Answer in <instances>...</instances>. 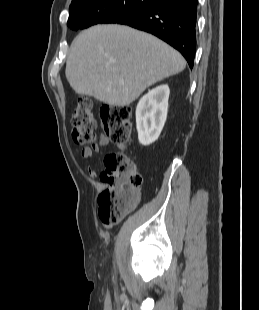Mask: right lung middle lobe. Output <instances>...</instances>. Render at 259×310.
<instances>
[{"label": "right lung middle lobe", "mask_w": 259, "mask_h": 310, "mask_svg": "<svg viewBox=\"0 0 259 310\" xmlns=\"http://www.w3.org/2000/svg\"><path fill=\"white\" fill-rule=\"evenodd\" d=\"M152 2L153 0H101L69 10L67 24L71 29L77 30L99 23H116Z\"/></svg>", "instance_id": "dd1d6c3e"}]
</instances>
